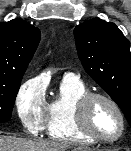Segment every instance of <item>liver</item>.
Wrapping results in <instances>:
<instances>
[{"label": "liver", "mask_w": 131, "mask_h": 151, "mask_svg": "<svg viewBox=\"0 0 131 151\" xmlns=\"http://www.w3.org/2000/svg\"><path fill=\"white\" fill-rule=\"evenodd\" d=\"M70 148V145L65 143L0 136V151H67Z\"/></svg>", "instance_id": "liver-1"}]
</instances>
